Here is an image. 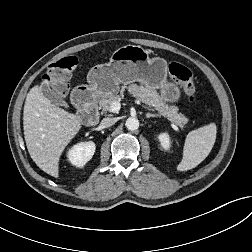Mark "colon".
<instances>
[{"instance_id":"obj_1","label":"colon","mask_w":252,"mask_h":252,"mask_svg":"<svg viewBox=\"0 0 252 252\" xmlns=\"http://www.w3.org/2000/svg\"><path fill=\"white\" fill-rule=\"evenodd\" d=\"M77 63V59L73 56L56 61L50 65L44 76V81L56 94L64 96L68 91L69 73L76 67ZM169 74L184 90L189 102L196 104L198 97L191 71L178 62H172L169 65Z\"/></svg>"}]
</instances>
